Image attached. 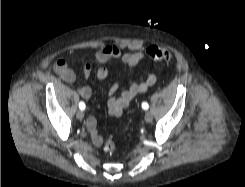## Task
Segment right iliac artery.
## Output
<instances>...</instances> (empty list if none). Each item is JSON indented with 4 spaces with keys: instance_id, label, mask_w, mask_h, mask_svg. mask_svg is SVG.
Here are the masks:
<instances>
[{
    "instance_id": "obj_1",
    "label": "right iliac artery",
    "mask_w": 245,
    "mask_h": 187,
    "mask_svg": "<svg viewBox=\"0 0 245 187\" xmlns=\"http://www.w3.org/2000/svg\"><path fill=\"white\" fill-rule=\"evenodd\" d=\"M85 104H84V102H80L79 103V108L81 109V110H84L85 109Z\"/></svg>"
}]
</instances>
